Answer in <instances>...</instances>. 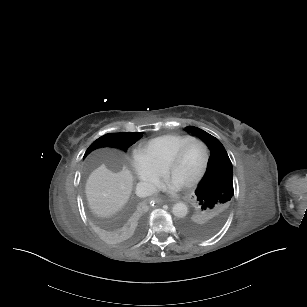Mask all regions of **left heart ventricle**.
Segmentation results:
<instances>
[{"label":"left heart ventricle","mask_w":307,"mask_h":307,"mask_svg":"<svg viewBox=\"0 0 307 307\" xmlns=\"http://www.w3.org/2000/svg\"><path fill=\"white\" fill-rule=\"evenodd\" d=\"M203 162V145L200 142H191L182 158L169 168L167 177L185 186L198 173Z\"/></svg>","instance_id":"obj_1"}]
</instances>
